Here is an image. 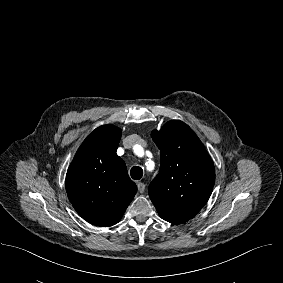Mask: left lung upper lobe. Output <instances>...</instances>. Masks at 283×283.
<instances>
[{
  "label": "left lung upper lobe",
  "mask_w": 283,
  "mask_h": 283,
  "mask_svg": "<svg viewBox=\"0 0 283 283\" xmlns=\"http://www.w3.org/2000/svg\"><path fill=\"white\" fill-rule=\"evenodd\" d=\"M161 167L148 192L160 217L173 224L193 218L208 201L215 182L213 161L194 131L179 120L151 133Z\"/></svg>",
  "instance_id": "obj_1"
}]
</instances>
